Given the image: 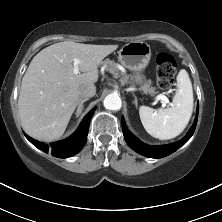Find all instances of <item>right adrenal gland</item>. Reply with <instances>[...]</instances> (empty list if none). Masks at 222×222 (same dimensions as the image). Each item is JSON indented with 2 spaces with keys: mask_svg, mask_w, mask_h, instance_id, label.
I'll use <instances>...</instances> for the list:
<instances>
[{
  "mask_svg": "<svg viewBox=\"0 0 222 222\" xmlns=\"http://www.w3.org/2000/svg\"><path fill=\"white\" fill-rule=\"evenodd\" d=\"M87 100H88V99H80V102H79V104H78L77 110H76V112H75L76 115H79V114L82 112V110H83V104H84V102H86Z\"/></svg>",
  "mask_w": 222,
  "mask_h": 222,
  "instance_id": "obj_1",
  "label": "right adrenal gland"
}]
</instances>
